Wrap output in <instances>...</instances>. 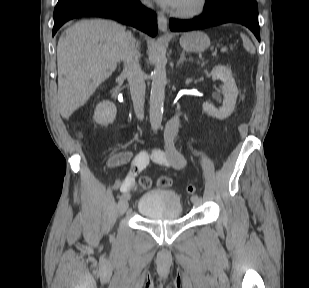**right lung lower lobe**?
Segmentation results:
<instances>
[{
    "label": "right lung lower lobe",
    "mask_w": 309,
    "mask_h": 288,
    "mask_svg": "<svg viewBox=\"0 0 309 288\" xmlns=\"http://www.w3.org/2000/svg\"><path fill=\"white\" fill-rule=\"evenodd\" d=\"M81 16H95L118 20L134 26L150 36L157 34V18L139 0H75L62 9L54 11L52 34L68 20Z\"/></svg>",
    "instance_id": "right-lung-lower-lobe-1"
}]
</instances>
